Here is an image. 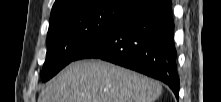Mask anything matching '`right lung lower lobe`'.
I'll use <instances>...</instances> for the list:
<instances>
[{"mask_svg":"<svg viewBox=\"0 0 221 102\" xmlns=\"http://www.w3.org/2000/svg\"><path fill=\"white\" fill-rule=\"evenodd\" d=\"M174 18L169 0H145L77 58H99L167 84L179 96Z\"/></svg>","mask_w":221,"mask_h":102,"instance_id":"1","label":"right lung lower lobe"}]
</instances>
